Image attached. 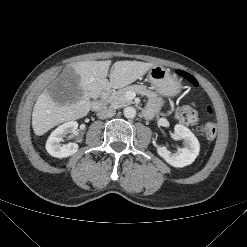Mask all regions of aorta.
I'll return each mask as SVG.
<instances>
[{
	"label": "aorta",
	"mask_w": 247,
	"mask_h": 247,
	"mask_svg": "<svg viewBox=\"0 0 247 247\" xmlns=\"http://www.w3.org/2000/svg\"><path fill=\"white\" fill-rule=\"evenodd\" d=\"M123 114L126 118H134L136 116V109L134 107H126Z\"/></svg>",
	"instance_id": "obj_1"
}]
</instances>
